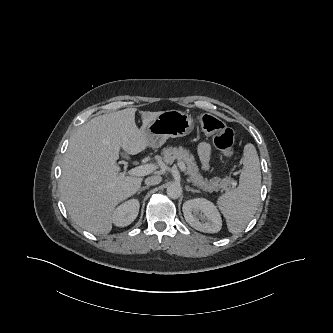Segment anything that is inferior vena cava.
I'll return each mask as SVG.
<instances>
[{
    "mask_svg": "<svg viewBox=\"0 0 333 333\" xmlns=\"http://www.w3.org/2000/svg\"><path fill=\"white\" fill-rule=\"evenodd\" d=\"M162 181L161 176H151L145 179V184L148 186L157 185Z\"/></svg>",
    "mask_w": 333,
    "mask_h": 333,
    "instance_id": "1",
    "label": "inferior vena cava"
}]
</instances>
